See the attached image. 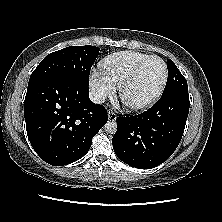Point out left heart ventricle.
Masks as SVG:
<instances>
[{
  "instance_id": "obj_1",
  "label": "left heart ventricle",
  "mask_w": 222,
  "mask_h": 222,
  "mask_svg": "<svg viewBox=\"0 0 222 222\" xmlns=\"http://www.w3.org/2000/svg\"><path fill=\"white\" fill-rule=\"evenodd\" d=\"M164 75L160 60L149 61L137 80L127 89L125 98L130 103H140L150 98L159 88Z\"/></svg>"
}]
</instances>
